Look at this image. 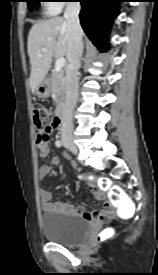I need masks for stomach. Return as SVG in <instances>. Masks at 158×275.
<instances>
[{
    "label": "stomach",
    "instance_id": "stomach-1",
    "mask_svg": "<svg viewBox=\"0 0 158 275\" xmlns=\"http://www.w3.org/2000/svg\"><path fill=\"white\" fill-rule=\"evenodd\" d=\"M50 82L45 78L36 88L35 95L39 98H47L50 95Z\"/></svg>",
    "mask_w": 158,
    "mask_h": 275
}]
</instances>
